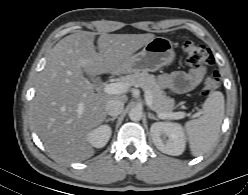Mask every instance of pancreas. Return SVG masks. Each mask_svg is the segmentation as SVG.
I'll list each match as a JSON object with an SVG mask.
<instances>
[{"label": "pancreas", "mask_w": 248, "mask_h": 195, "mask_svg": "<svg viewBox=\"0 0 248 195\" xmlns=\"http://www.w3.org/2000/svg\"><path fill=\"white\" fill-rule=\"evenodd\" d=\"M120 81L128 83L130 86L141 87L144 91L148 90L153 100L152 109L157 114L164 113L168 115L172 113L174 109V99L166 95V92L157 84L154 75L147 72H137L122 77Z\"/></svg>", "instance_id": "obj_1"}]
</instances>
